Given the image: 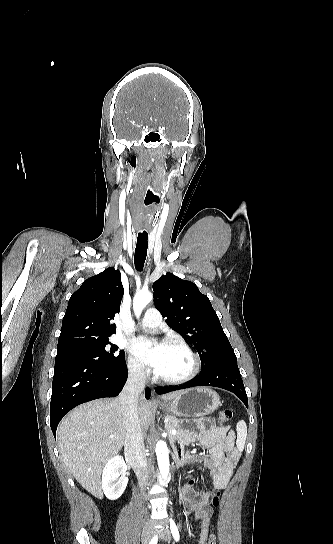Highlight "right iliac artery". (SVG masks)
<instances>
[{
    "label": "right iliac artery",
    "instance_id": "82829eb1",
    "mask_svg": "<svg viewBox=\"0 0 333 544\" xmlns=\"http://www.w3.org/2000/svg\"><path fill=\"white\" fill-rule=\"evenodd\" d=\"M157 542H158V537L154 536L149 544H157Z\"/></svg>",
    "mask_w": 333,
    "mask_h": 544
}]
</instances>
